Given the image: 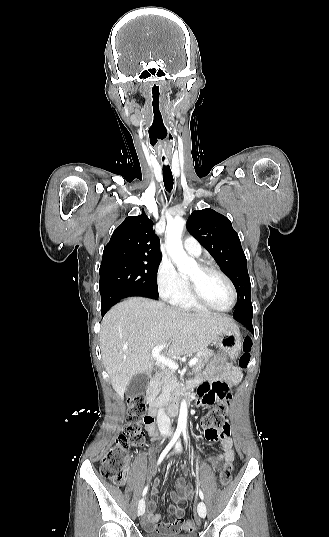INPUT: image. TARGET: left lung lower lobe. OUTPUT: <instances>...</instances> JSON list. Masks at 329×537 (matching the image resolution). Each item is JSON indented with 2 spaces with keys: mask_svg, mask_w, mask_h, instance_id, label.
I'll return each mask as SVG.
<instances>
[{
  "mask_svg": "<svg viewBox=\"0 0 329 537\" xmlns=\"http://www.w3.org/2000/svg\"><path fill=\"white\" fill-rule=\"evenodd\" d=\"M252 315H253V312L237 313V314H234V317L237 321L244 324L253 333Z\"/></svg>",
  "mask_w": 329,
  "mask_h": 537,
  "instance_id": "left-lung-lower-lobe-1",
  "label": "left lung lower lobe"
}]
</instances>
